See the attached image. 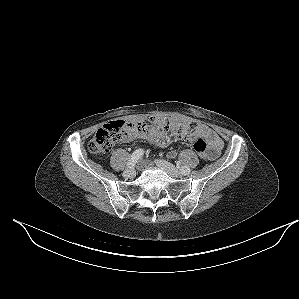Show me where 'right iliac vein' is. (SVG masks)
Masks as SVG:
<instances>
[{
    "label": "right iliac vein",
    "mask_w": 299,
    "mask_h": 299,
    "mask_svg": "<svg viewBox=\"0 0 299 299\" xmlns=\"http://www.w3.org/2000/svg\"><path fill=\"white\" fill-rule=\"evenodd\" d=\"M123 176L126 178H133L135 176V170L133 168L126 169L123 172Z\"/></svg>",
    "instance_id": "obj_1"
}]
</instances>
